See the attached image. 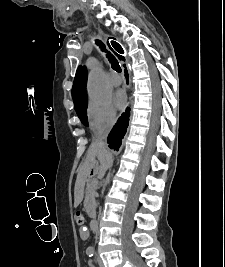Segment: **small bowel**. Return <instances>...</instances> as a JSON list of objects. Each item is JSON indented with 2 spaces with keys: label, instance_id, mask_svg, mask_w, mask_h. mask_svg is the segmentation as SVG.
I'll return each instance as SVG.
<instances>
[{
  "label": "small bowel",
  "instance_id": "small-bowel-1",
  "mask_svg": "<svg viewBox=\"0 0 225 267\" xmlns=\"http://www.w3.org/2000/svg\"><path fill=\"white\" fill-rule=\"evenodd\" d=\"M80 236H81V237H85V236H86V231H85V230L82 231V232L80 233Z\"/></svg>",
  "mask_w": 225,
  "mask_h": 267
}]
</instances>
